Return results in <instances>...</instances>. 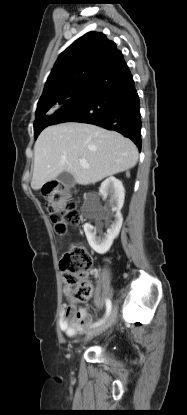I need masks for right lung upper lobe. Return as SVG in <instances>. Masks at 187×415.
Here are the masks:
<instances>
[{"instance_id": "1", "label": "right lung upper lobe", "mask_w": 187, "mask_h": 415, "mask_svg": "<svg viewBox=\"0 0 187 415\" xmlns=\"http://www.w3.org/2000/svg\"><path fill=\"white\" fill-rule=\"evenodd\" d=\"M121 54L115 43L104 34L86 33L59 56L37 109L57 102L67 90L87 81Z\"/></svg>"}]
</instances>
